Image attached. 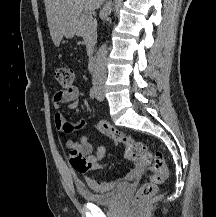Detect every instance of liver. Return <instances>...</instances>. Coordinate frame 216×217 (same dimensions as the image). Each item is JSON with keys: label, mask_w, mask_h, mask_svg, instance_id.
Masks as SVG:
<instances>
[{"label": "liver", "mask_w": 216, "mask_h": 217, "mask_svg": "<svg viewBox=\"0 0 216 217\" xmlns=\"http://www.w3.org/2000/svg\"><path fill=\"white\" fill-rule=\"evenodd\" d=\"M104 0H44L49 31L56 47L80 14L99 9Z\"/></svg>", "instance_id": "obj_1"}]
</instances>
